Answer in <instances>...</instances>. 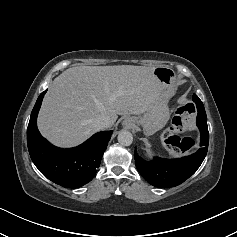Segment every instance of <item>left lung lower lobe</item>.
<instances>
[{"mask_svg": "<svg viewBox=\"0 0 237 237\" xmlns=\"http://www.w3.org/2000/svg\"><path fill=\"white\" fill-rule=\"evenodd\" d=\"M197 126L201 134L200 149L192 155L178 159L156 157L148 162L139 157L135 151V164L144 179L156 187L167 188L177 186L193 175L202 164L208 150L206 113H198Z\"/></svg>", "mask_w": 237, "mask_h": 237, "instance_id": "0a47b994", "label": "left lung lower lobe"}]
</instances>
